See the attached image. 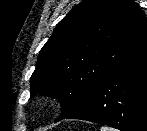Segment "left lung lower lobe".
Wrapping results in <instances>:
<instances>
[{
	"label": "left lung lower lobe",
	"instance_id": "0a47b994",
	"mask_svg": "<svg viewBox=\"0 0 147 131\" xmlns=\"http://www.w3.org/2000/svg\"><path fill=\"white\" fill-rule=\"evenodd\" d=\"M65 119L147 131V42L112 68L85 104Z\"/></svg>",
	"mask_w": 147,
	"mask_h": 131
}]
</instances>
